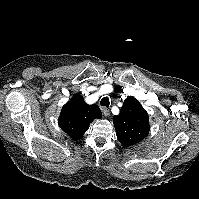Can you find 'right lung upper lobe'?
<instances>
[{
    "mask_svg": "<svg viewBox=\"0 0 199 199\" xmlns=\"http://www.w3.org/2000/svg\"><path fill=\"white\" fill-rule=\"evenodd\" d=\"M101 115L97 105H88L82 96L75 95L63 106L58 124L72 139L80 140L90 123Z\"/></svg>",
    "mask_w": 199,
    "mask_h": 199,
    "instance_id": "1",
    "label": "right lung upper lobe"
}]
</instances>
